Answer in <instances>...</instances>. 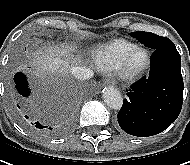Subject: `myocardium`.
Instances as JSON below:
<instances>
[{"label":"myocardium","mask_w":190,"mask_h":165,"mask_svg":"<svg viewBox=\"0 0 190 165\" xmlns=\"http://www.w3.org/2000/svg\"><path fill=\"white\" fill-rule=\"evenodd\" d=\"M138 52H143L145 54V62L138 68H133L131 66V61L134 55ZM151 64V57L149 51L144 47L137 46L123 58L121 66L119 68L120 75L123 79L134 80L141 77L149 68Z\"/></svg>","instance_id":"f54148a6"}]
</instances>
